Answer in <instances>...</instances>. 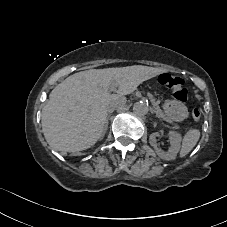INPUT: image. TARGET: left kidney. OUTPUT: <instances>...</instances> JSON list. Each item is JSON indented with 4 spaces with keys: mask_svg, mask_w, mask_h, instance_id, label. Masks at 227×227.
Segmentation results:
<instances>
[{
    "mask_svg": "<svg viewBox=\"0 0 227 227\" xmlns=\"http://www.w3.org/2000/svg\"><path fill=\"white\" fill-rule=\"evenodd\" d=\"M159 135L158 132L152 133L149 136V143L151 146H153L156 150L157 155L163 159V160H174L177 156V153L180 150L181 147V141L182 137L181 134L175 132V131H170L168 133L169 135V140H170V148L167 152L157 148V140L156 137Z\"/></svg>",
    "mask_w": 227,
    "mask_h": 227,
    "instance_id": "obj_1",
    "label": "left kidney"
}]
</instances>
